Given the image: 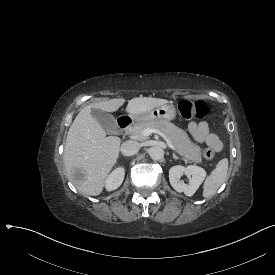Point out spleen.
Wrapping results in <instances>:
<instances>
[{
	"label": "spleen",
	"instance_id": "spleen-1",
	"mask_svg": "<svg viewBox=\"0 0 275 275\" xmlns=\"http://www.w3.org/2000/svg\"><path fill=\"white\" fill-rule=\"evenodd\" d=\"M228 171V159L224 158L218 162L216 168L206 178L203 186V197H212L218 188L225 182Z\"/></svg>",
	"mask_w": 275,
	"mask_h": 275
}]
</instances>
